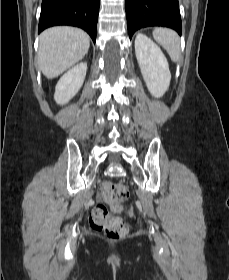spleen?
Listing matches in <instances>:
<instances>
[{"label": "spleen", "instance_id": "spleen-1", "mask_svg": "<svg viewBox=\"0 0 229 280\" xmlns=\"http://www.w3.org/2000/svg\"><path fill=\"white\" fill-rule=\"evenodd\" d=\"M153 37L169 54L173 62H177L180 57V38L178 34L168 28H156Z\"/></svg>", "mask_w": 229, "mask_h": 280}]
</instances>
